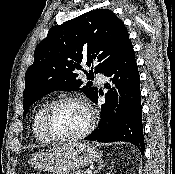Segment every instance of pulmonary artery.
<instances>
[{
    "label": "pulmonary artery",
    "instance_id": "pulmonary-artery-1",
    "mask_svg": "<svg viewBox=\"0 0 175 174\" xmlns=\"http://www.w3.org/2000/svg\"><path fill=\"white\" fill-rule=\"evenodd\" d=\"M97 77L101 82L104 81V76L102 74H97Z\"/></svg>",
    "mask_w": 175,
    "mask_h": 174
}]
</instances>
